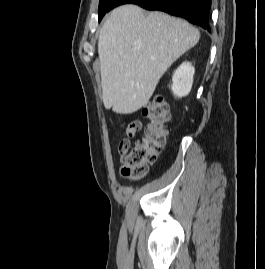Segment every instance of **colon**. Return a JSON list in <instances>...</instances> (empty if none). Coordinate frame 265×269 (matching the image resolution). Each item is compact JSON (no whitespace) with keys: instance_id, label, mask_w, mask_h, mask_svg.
<instances>
[{"instance_id":"obj_1","label":"colon","mask_w":265,"mask_h":269,"mask_svg":"<svg viewBox=\"0 0 265 269\" xmlns=\"http://www.w3.org/2000/svg\"><path fill=\"white\" fill-rule=\"evenodd\" d=\"M143 114L148 120L143 137L132 143L141 123L131 121L124 127V137L119 144L123 162L121 175L127 180L137 181L146 176L168 134L170 111L162 97L155 96L149 101L143 108Z\"/></svg>"}]
</instances>
